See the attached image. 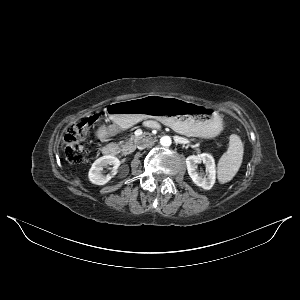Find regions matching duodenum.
<instances>
[{
	"label": "duodenum",
	"mask_w": 300,
	"mask_h": 300,
	"mask_svg": "<svg viewBox=\"0 0 300 300\" xmlns=\"http://www.w3.org/2000/svg\"><path fill=\"white\" fill-rule=\"evenodd\" d=\"M108 132L106 129H102L100 132H99V137H105V136H108ZM117 153V148L115 146H112V145H107L103 148V154L105 156H108V157H113L115 156Z\"/></svg>",
	"instance_id": "1"
}]
</instances>
